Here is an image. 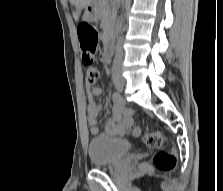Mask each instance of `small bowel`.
Returning a JSON list of instances; mask_svg holds the SVG:
<instances>
[{
    "label": "small bowel",
    "mask_w": 223,
    "mask_h": 191,
    "mask_svg": "<svg viewBox=\"0 0 223 191\" xmlns=\"http://www.w3.org/2000/svg\"><path fill=\"white\" fill-rule=\"evenodd\" d=\"M100 59L105 64L109 63V58H107L105 54H101ZM86 89L88 95V123L91 134L94 136L104 134L113 137H123L128 134L133 125V110L123 106L121 101L113 99L112 114L106 122L104 131L101 132L99 128V116L102 112V107L96 103L95 97L102 94V89L100 87L94 86L91 83L86 85Z\"/></svg>",
    "instance_id": "1"
}]
</instances>
